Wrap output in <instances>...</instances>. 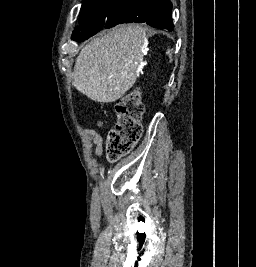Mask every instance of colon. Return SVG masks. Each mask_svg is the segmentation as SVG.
<instances>
[{"instance_id":"colon-1","label":"colon","mask_w":256,"mask_h":267,"mask_svg":"<svg viewBox=\"0 0 256 267\" xmlns=\"http://www.w3.org/2000/svg\"><path fill=\"white\" fill-rule=\"evenodd\" d=\"M114 108L117 113V123L108 136L107 148L110 158L117 160L128 153L141 136L140 119L144 106L140 100V90L134 89L127 93L114 105ZM97 126L102 127L103 122L98 121Z\"/></svg>"}]
</instances>
